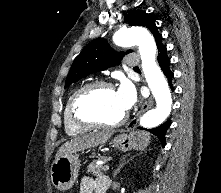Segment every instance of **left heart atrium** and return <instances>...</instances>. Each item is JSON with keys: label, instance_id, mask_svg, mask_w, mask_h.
<instances>
[{"label": "left heart atrium", "instance_id": "1", "mask_svg": "<svg viewBox=\"0 0 221 193\" xmlns=\"http://www.w3.org/2000/svg\"><path fill=\"white\" fill-rule=\"evenodd\" d=\"M116 96L125 112L130 110L136 102L135 89L128 81H124L120 84L116 91Z\"/></svg>", "mask_w": 221, "mask_h": 193}]
</instances>
